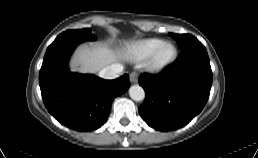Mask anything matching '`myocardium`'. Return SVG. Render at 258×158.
Segmentation results:
<instances>
[{"label": "myocardium", "instance_id": "myocardium-1", "mask_svg": "<svg viewBox=\"0 0 258 158\" xmlns=\"http://www.w3.org/2000/svg\"><path fill=\"white\" fill-rule=\"evenodd\" d=\"M167 46L173 48V54L167 59L160 60V54L162 50ZM177 55V48L173 43L163 42L159 47L155 49V51L148 58L147 68L154 73L161 72L176 60Z\"/></svg>", "mask_w": 258, "mask_h": 158}]
</instances>
